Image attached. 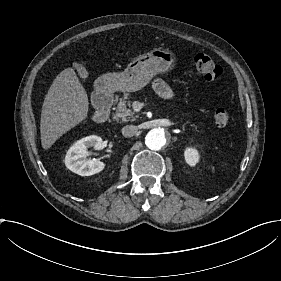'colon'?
<instances>
[{"instance_id":"obj_1","label":"colon","mask_w":281,"mask_h":281,"mask_svg":"<svg viewBox=\"0 0 281 281\" xmlns=\"http://www.w3.org/2000/svg\"><path fill=\"white\" fill-rule=\"evenodd\" d=\"M194 63L200 76L208 83L218 84L224 79L223 69L216 64L210 56L197 54ZM214 124L218 128H225L230 119L229 111L224 106H219L214 111Z\"/></svg>"}]
</instances>
